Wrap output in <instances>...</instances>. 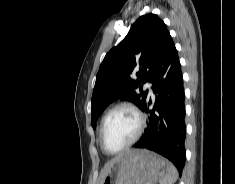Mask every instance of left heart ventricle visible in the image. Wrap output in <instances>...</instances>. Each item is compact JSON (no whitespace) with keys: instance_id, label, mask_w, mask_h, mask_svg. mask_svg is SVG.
<instances>
[{"instance_id":"left-heart-ventricle-1","label":"left heart ventricle","mask_w":235,"mask_h":184,"mask_svg":"<svg viewBox=\"0 0 235 184\" xmlns=\"http://www.w3.org/2000/svg\"><path fill=\"white\" fill-rule=\"evenodd\" d=\"M138 120L128 109L115 111L107 124L103 135V143L110 151L118 150L126 145L136 134Z\"/></svg>"}]
</instances>
